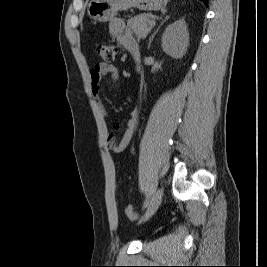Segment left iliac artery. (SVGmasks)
<instances>
[{
	"instance_id": "44dca946",
	"label": "left iliac artery",
	"mask_w": 267,
	"mask_h": 267,
	"mask_svg": "<svg viewBox=\"0 0 267 267\" xmlns=\"http://www.w3.org/2000/svg\"><path fill=\"white\" fill-rule=\"evenodd\" d=\"M150 203V194L147 195L144 204H143V208H146Z\"/></svg>"
}]
</instances>
